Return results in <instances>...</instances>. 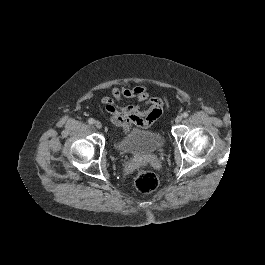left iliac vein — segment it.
I'll return each instance as SVG.
<instances>
[{"mask_svg": "<svg viewBox=\"0 0 265 265\" xmlns=\"http://www.w3.org/2000/svg\"><path fill=\"white\" fill-rule=\"evenodd\" d=\"M181 121H182V116H181V115H178V116L175 118V123H176V124H179Z\"/></svg>", "mask_w": 265, "mask_h": 265, "instance_id": "1", "label": "left iliac vein"}]
</instances>
